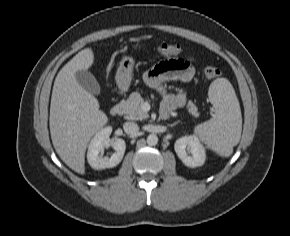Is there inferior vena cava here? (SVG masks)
Listing matches in <instances>:
<instances>
[{
    "label": "inferior vena cava",
    "mask_w": 290,
    "mask_h": 236,
    "mask_svg": "<svg viewBox=\"0 0 290 236\" xmlns=\"http://www.w3.org/2000/svg\"><path fill=\"white\" fill-rule=\"evenodd\" d=\"M123 129L127 134H135L139 131V126L135 122H125Z\"/></svg>",
    "instance_id": "obj_1"
}]
</instances>
